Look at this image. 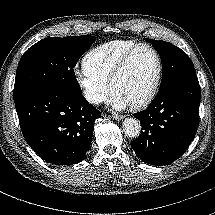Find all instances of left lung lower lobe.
Returning a JSON list of instances; mask_svg holds the SVG:
<instances>
[{
  "mask_svg": "<svg viewBox=\"0 0 215 215\" xmlns=\"http://www.w3.org/2000/svg\"><path fill=\"white\" fill-rule=\"evenodd\" d=\"M200 86L191 75L160 90L148 108L133 114L142 125L131 142L137 156L151 165H167L186 151L199 123Z\"/></svg>",
  "mask_w": 215,
  "mask_h": 215,
  "instance_id": "left-lung-lower-lobe-1",
  "label": "left lung lower lobe"
}]
</instances>
